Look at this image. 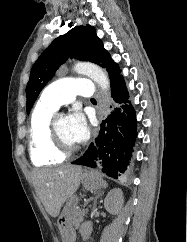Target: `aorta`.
I'll list each match as a JSON object with an SVG mask.
<instances>
[{
  "instance_id": "obj_1",
  "label": "aorta",
  "mask_w": 187,
  "mask_h": 242,
  "mask_svg": "<svg viewBox=\"0 0 187 242\" xmlns=\"http://www.w3.org/2000/svg\"><path fill=\"white\" fill-rule=\"evenodd\" d=\"M74 71L79 74L87 75L93 81H95L104 91H107L110 87V81L107 74L102 68L95 64L80 62L74 66Z\"/></svg>"
}]
</instances>
